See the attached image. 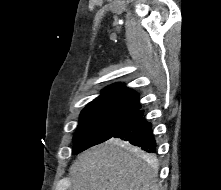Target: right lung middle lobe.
Here are the masks:
<instances>
[{
	"mask_svg": "<svg viewBox=\"0 0 221 190\" xmlns=\"http://www.w3.org/2000/svg\"><path fill=\"white\" fill-rule=\"evenodd\" d=\"M138 110L114 105H87L73 137L74 154L113 137Z\"/></svg>",
	"mask_w": 221,
	"mask_h": 190,
	"instance_id": "dd1d6c3e",
	"label": "right lung middle lobe"
}]
</instances>
